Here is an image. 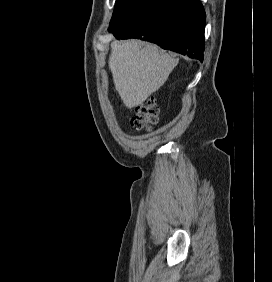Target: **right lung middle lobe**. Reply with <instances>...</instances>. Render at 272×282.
<instances>
[{
	"instance_id": "right-lung-middle-lobe-1",
	"label": "right lung middle lobe",
	"mask_w": 272,
	"mask_h": 282,
	"mask_svg": "<svg viewBox=\"0 0 272 282\" xmlns=\"http://www.w3.org/2000/svg\"><path fill=\"white\" fill-rule=\"evenodd\" d=\"M139 0H116L115 9L110 25L117 22L126 12H128Z\"/></svg>"
}]
</instances>
